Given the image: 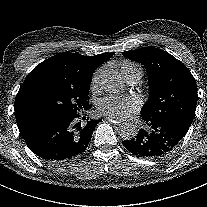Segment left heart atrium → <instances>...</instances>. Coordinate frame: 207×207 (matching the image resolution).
<instances>
[{
  "label": "left heart atrium",
  "instance_id": "obj_1",
  "mask_svg": "<svg viewBox=\"0 0 207 207\" xmlns=\"http://www.w3.org/2000/svg\"><path fill=\"white\" fill-rule=\"evenodd\" d=\"M141 101L134 96L110 95L99 103V111L102 115L113 119H126L138 112Z\"/></svg>",
  "mask_w": 207,
  "mask_h": 207
}]
</instances>
